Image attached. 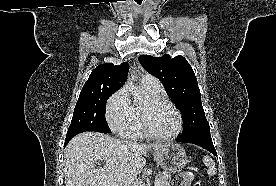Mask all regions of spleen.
Masks as SVG:
<instances>
[{
    "mask_svg": "<svg viewBox=\"0 0 276 186\" xmlns=\"http://www.w3.org/2000/svg\"><path fill=\"white\" fill-rule=\"evenodd\" d=\"M203 162L208 167V175L214 176L217 173V169L215 167V162L213 161V159L210 156L206 155L203 157Z\"/></svg>",
    "mask_w": 276,
    "mask_h": 186,
    "instance_id": "obj_1",
    "label": "spleen"
}]
</instances>
